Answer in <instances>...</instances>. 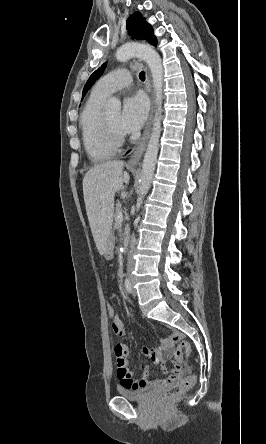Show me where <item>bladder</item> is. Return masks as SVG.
<instances>
[{"label":"bladder","mask_w":266,"mask_h":444,"mask_svg":"<svg viewBox=\"0 0 266 444\" xmlns=\"http://www.w3.org/2000/svg\"><path fill=\"white\" fill-rule=\"evenodd\" d=\"M154 390L153 385H149L140 389H119V395L127 400L141 402L146 400Z\"/></svg>","instance_id":"1"}]
</instances>
